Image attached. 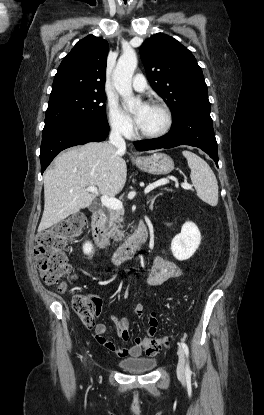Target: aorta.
<instances>
[{
    "label": "aorta",
    "mask_w": 264,
    "mask_h": 415,
    "mask_svg": "<svg viewBox=\"0 0 264 415\" xmlns=\"http://www.w3.org/2000/svg\"><path fill=\"white\" fill-rule=\"evenodd\" d=\"M136 52L129 48L126 49L118 59L116 68L113 72L114 86L117 92L125 99L130 111H134L140 101L133 96L131 81L133 73L137 67Z\"/></svg>",
    "instance_id": "1"
}]
</instances>
